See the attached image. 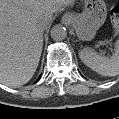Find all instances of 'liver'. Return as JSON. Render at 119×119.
I'll list each match as a JSON object with an SVG mask.
<instances>
[{
    "label": "liver",
    "instance_id": "obj_1",
    "mask_svg": "<svg viewBox=\"0 0 119 119\" xmlns=\"http://www.w3.org/2000/svg\"><path fill=\"white\" fill-rule=\"evenodd\" d=\"M74 0H0V83L26 84L39 64L43 46L40 25Z\"/></svg>",
    "mask_w": 119,
    "mask_h": 119
}]
</instances>
